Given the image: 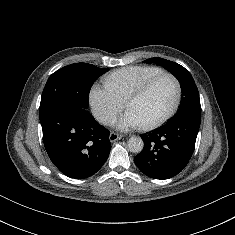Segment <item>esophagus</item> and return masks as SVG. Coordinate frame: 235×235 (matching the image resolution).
Segmentation results:
<instances>
[{
    "instance_id": "34e87169",
    "label": "esophagus",
    "mask_w": 235,
    "mask_h": 235,
    "mask_svg": "<svg viewBox=\"0 0 235 235\" xmlns=\"http://www.w3.org/2000/svg\"><path fill=\"white\" fill-rule=\"evenodd\" d=\"M122 137H123L122 135L112 132L109 135V140L110 142H115L117 140H120Z\"/></svg>"
}]
</instances>
